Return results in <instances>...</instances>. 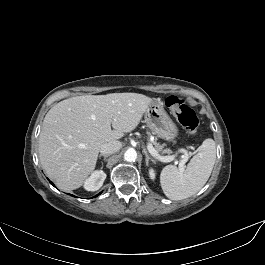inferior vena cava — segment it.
I'll return each mask as SVG.
<instances>
[{
    "mask_svg": "<svg viewBox=\"0 0 265 265\" xmlns=\"http://www.w3.org/2000/svg\"><path fill=\"white\" fill-rule=\"evenodd\" d=\"M120 148H121V143L119 141H111L101 146L100 153L102 155L112 154L117 152Z\"/></svg>",
    "mask_w": 265,
    "mask_h": 265,
    "instance_id": "1",
    "label": "inferior vena cava"
}]
</instances>
